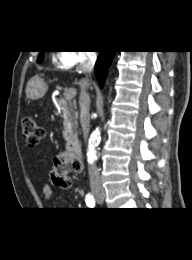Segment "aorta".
Listing matches in <instances>:
<instances>
[{
  "label": "aorta",
  "instance_id": "aorta-1",
  "mask_svg": "<svg viewBox=\"0 0 192 260\" xmlns=\"http://www.w3.org/2000/svg\"><path fill=\"white\" fill-rule=\"evenodd\" d=\"M99 142H100V130L99 128H96L91 134L89 139L88 152H87V158L89 163L94 162L97 158L96 147L98 146Z\"/></svg>",
  "mask_w": 192,
  "mask_h": 260
}]
</instances>
